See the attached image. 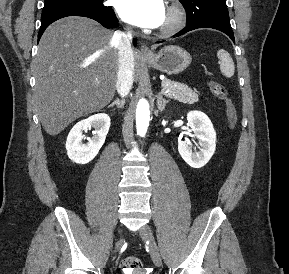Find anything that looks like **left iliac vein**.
Wrapping results in <instances>:
<instances>
[{
    "instance_id": "left-iliac-vein-1",
    "label": "left iliac vein",
    "mask_w": 289,
    "mask_h": 274,
    "mask_svg": "<svg viewBox=\"0 0 289 274\" xmlns=\"http://www.w3.org/2000/svg\"><path fill=\"white\" fill-rule=\"evenodd\" d=\"M139 234L143 240L148 242L150 256L154 264L156 266H161L162 260H161L160 252H159V249H158V246H157V243H156V240L154 238L151 228L148 225H144L140 228Z\"/></svg>"
}]
</instances>
